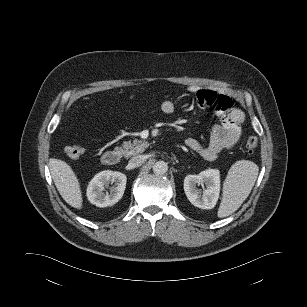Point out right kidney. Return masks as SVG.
<instances>
[{"label":"right kidney","instance_id":"right-kidney-1","mask_svg":"<svg viewBox=\"0 0 307 307\" xmlns=\"http://www.w3.org/2000/svg\"><path fill=\"white\" fill-rule=\"evenodd\" d=\"M127 177L121 172L105 170L94 176L87 187L88 200L97 207L112 206L123 196ZM114 183L110 192H105V187Z\"/></svg>","mask_w":307,"mask_h":307}]
</instances>
